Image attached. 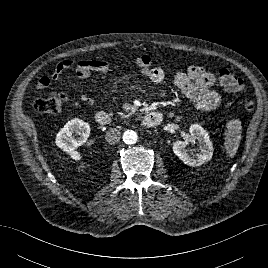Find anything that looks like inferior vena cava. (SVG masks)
<instances>
[{"instance_id": "1", "label": "inferior vena cava", "mask_w": 268, "mask_h": 268, "mask_svg": "<svg viewBox=\"0 0 268 268\" xmlns=\"http://www.w3.org/2000/svg\"><path fill=\"white\" fill-rule=\"evenodd\" d=\"M121 138V132L116 128H111L106 132L105 139L109 144L117 143Z\"/></svg>"}]
</instances>
